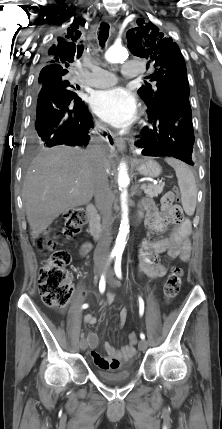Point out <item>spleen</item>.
I'll list each match as a JSON object with an SVG mask.
<instances>
[{
	"label": "spleen",
	"instance_id": "obj_1",
	"mask_svg": "<svg viewBox=\"0 0 222 429\" xmlns=\"http://www.w3.org/2000/svg\"><path fill=\"white\" fill-rule=\"evenodd\" d=\"M165 161L175 170L183 209L187 215L192 216L195 212L197 203L195 177L185 163L174 158H166Z\"/></svg>",
	"mask_w": 222,
	"mask_h": 429
}]
</instances>
